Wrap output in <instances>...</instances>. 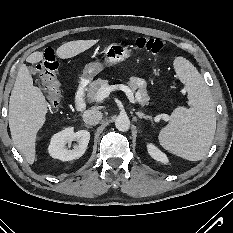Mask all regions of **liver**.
<instances>
[{"mask_svg": "<svg viewBox=\"0 0 233 233\" xmlns=\"http://www.w3.org/2000/svg\"><path fill=\"white\" fill-rule=\"evenodd\" d=\"M98 40H76L61 45L56 54L61 59L74 57L95 45ZM44 59L43 52L30 54L26 61L34 64ZM48 103L39 87L33 85L25 64L19 67L9 100V128L13 144L29 164L36 160L37 133L46 121Z\"/></svg>", "mask_w": 233, "mask_h": 233, "instance_id": "1", "label": "liver"}]
</instances>
